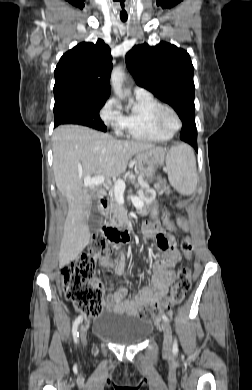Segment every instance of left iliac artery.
Listing matches in <instances>:
<instances>
[{
    "label": "left iliac artery",
    "mask_w": 252,
    "mask_h": 390,
    "mask_svg": "<svg viewBox=\"0 0 252 390\" xmlns=\"http://www.w3.org/2000/svg\"><path fill=\"white\" fill-rule=\"evenodd\" d=\"M162 318L164 321H169V319L166 315H163ZM177 350H178V344H177V340H175L173 343V351H177Z\"/></svg>",
    "instance_id": "1"
}]
</instances>
